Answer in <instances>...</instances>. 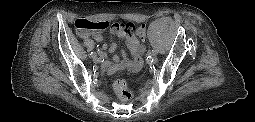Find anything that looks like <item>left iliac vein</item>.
<instances>
[{
    "mask_svg": "<svg viewBox=\"0 0 255 122\" xmlns=\"http://www.w3.org/2000/svg\"><path fill=\"white\" fill-rule=\"evenodd\" d=\"M151 59H152L151 62H152L153 64H157V63H158V58H157L156 55H152Z\"/></svg>",
    "mask_w": 255,
    "mask_h": 122,
    "instance_id": "1",
    "label": "left iliac vein"
}]
</instances>
